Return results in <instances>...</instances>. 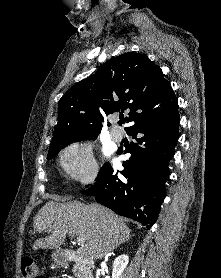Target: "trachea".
Returning <instances> with one entry per match:
<instances>
[{"instance_id": "3493384b", "label": "trachea", "mask_w": 221, "mask_h": 278, "mask_svg": "<svg viewBox=\"0 0 221 278\" xmlns=\"http://www.w3.org/2000/svg\"><path fill=\"white\" fill-rule=\"evenodd\" d=\"M118 123H119V125H122L124 123V121L120 120Z\"/></svg>"}]
</instances>
